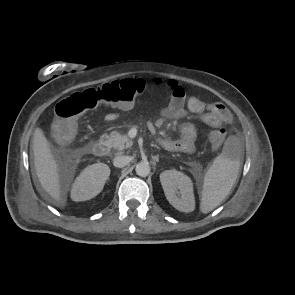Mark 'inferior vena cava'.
<instances>
[{
	"label": "inferior vena cava",
	"instance_id": "1",
	"mask_svg": "<svg viewBox=\"0 0 295 295\" xmlns=\"http://www.w3.org/2000/svg\"><path fill=\"white\" fill-rule=\"evenodd\" d=\"M132 160V157L130 156H117L113 160V165L118 168L125 167L130 161Z\"/></svg>",
	"mask_w": 295,
	"mask_h": 295
}]
</instances>
